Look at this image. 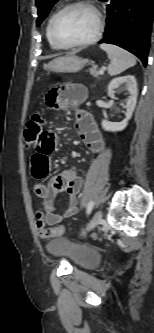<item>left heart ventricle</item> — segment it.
Listing matches in <instances>:
<instances>
[{
	"label": "left heart ventricle",
	"mask_w": 154,
	"mask_h": 333,
	"mask_svg": "<svg viewBox=\"0 0 154 333\" xmlns=\"http://www.w3.org/2000/svg\"><path fill=\"white\" fill-rule=\"evenodd\" d=\"M94 13L83 7L66 11L58 19L55 32L64 43H76L89 39L96 30Z\"/></svg>",
	"instance_id": "obj_1"
}]
</instances>
